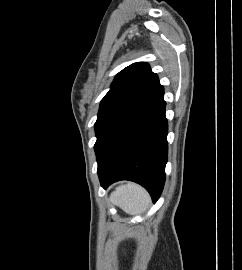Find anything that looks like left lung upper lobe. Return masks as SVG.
Masks as SVG:
<instances>
[{
    "label": "left lung upper lobe",
    "instance_id": "1",
    "mask_svg": "<svg viewBox=\"0 0 242 270\" xmlns=\"http://www.w3.org/2000/svg\"><path fill=\"white\" fill-rule=\"evenodd\" d=\"M159 86L158 76L146 62L131 64L117 74L100 104L95 123V152L112 127Z\"/></svg>",
    "mask_w": 242,
    "mask_h": 270
}]
</instances>
